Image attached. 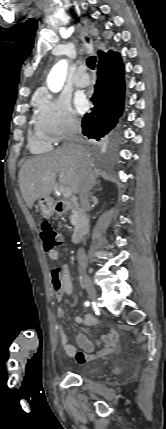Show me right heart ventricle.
I'll use <instances>...</instances> for the list:
<instances>
[{
	"label": "right heart ventricle",
	"instance_id": "e07e8e85",
	"mask_svg": "<svg viewBox=\"0 0 166 429\" xmlns=\"http://www.w3.org/2000/svg\"><path fill=\"white\" fill-rule=\"evenodd\" d=\"M29 146L32 152L42 153L52 148V142L37 128L29 136Z\"/></svg>",
	"mask_w": 166,
	"mask_h": 429
}]
</instances>
